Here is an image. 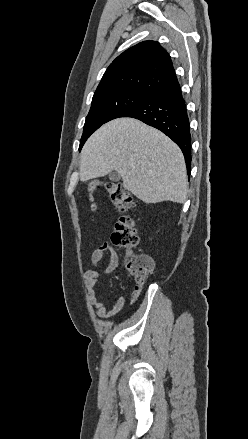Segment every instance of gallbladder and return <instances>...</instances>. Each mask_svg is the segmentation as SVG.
<instances>
[{
    "mask_svg": "<svg viewBox=\"0 0 248 439\" xmlns=\"http://www.w3.org/2000/svg\"><path fill=\"white\" fill-rule=\"evenodd\" d=\"M109 179L113 182H117L121 179V176L117 172L113 171L109 174Z\"/></svg>",
    "mask_w": 248,
    "mask_h": 439,
    "instance_id": "gallbladder-1",
    "label": "gallbladder"
}]
</instances>
